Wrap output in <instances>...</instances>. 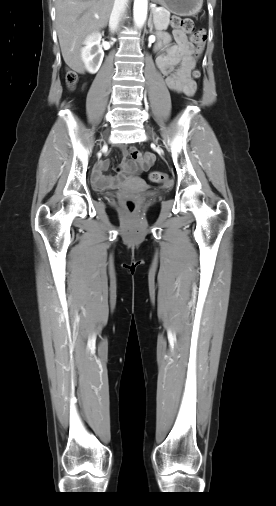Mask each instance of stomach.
<instances>
[{"mask_svg":"<svg viewBox=\"0 0 276 506\" xmlns=\"http://www.w3.org/2000/svg\"><path fill=\"white\" fill-rule=\"evenodd\" d=\"M153 2L179 16L195 15L203 5V0H153Z\"/></svg>","mask_w":276,"mask_h":506,"instance_id":"1","label":"stomach"}]
</instances>
